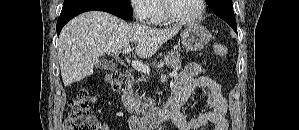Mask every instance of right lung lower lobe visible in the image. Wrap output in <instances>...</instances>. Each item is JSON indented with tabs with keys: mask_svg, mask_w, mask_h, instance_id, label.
I'll list each match as a JSON object with an SVG mask.
<instances>
[{
	"mask_svg": "<svg viewBox=\"0 0 299 130\" xmlns=\"http://www.w3.org/2000/svg\"><path fill=\"white\" fill-rule=\"evenodd\" d=\"M91 10L105 11L124 20L130 19L133 15L132 7L119 0H64L56 25L58 36L63 26L69 20L78 14Z\"/></svg>",
	"mask_w": 299,
	"mask_h": 130,
	"instance_id": "obj_1",
	"label": "right lung lower lobe"
}]
</instances>
